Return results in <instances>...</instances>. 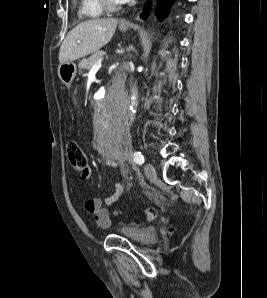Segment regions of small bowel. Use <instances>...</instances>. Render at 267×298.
<instances>
[{
    "label": "small bowel",
    "instance_id": "small-bowel-1",
    "mask_svg": "<svg viewBox=\"0 0 267 298\" xmlns=\"http://www.w3.org/2000/svg\"><path fill=\"white\" fill-rule=\"evenodd\" d=\"M110 166L117 167L116 163H110ZM124 170V168H122ZM92 169L88 166L87 173L83 174V178L87 179L91 176ZM124 193V184L117 182L114 191L104 200L100 198H90L84 203L85 212L93 217L95 224L101 228H109L111 226V216L107 206L114 205Z\"/></svg>",
    "mask_w": 267,
    "mask_h": 298
}]
</instances>
